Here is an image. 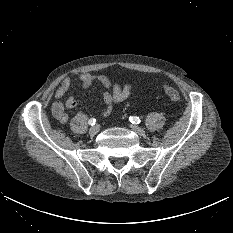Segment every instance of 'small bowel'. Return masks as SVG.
Wrapping results in <instances>:
<instances>
[{"label":"small bowel","instance_id":"c3829d8e","mask_svg":"<svg viewBox=\"0 0 233 233\" xmlns=\"http://www.w3.org/2000/svg\"><path fill=\"white\" fill-rule=\"evenodd\" d=\"M80 86L83 89L89 88L94 82H99L108 89L102 95L103 103L106 109L102 112V116L107 117L111 114L114 103L122 102L132 95L135 91L130 84L119 85L110 80L104 74L82 73L79 77ZM71 80L64 78L61 80L58 88L54 92L55 102L52 105V115L60 123L65 124L68 121L67 109H74L77 106V100L74 97H69L63 102L61 99L71 87Z\"/></svg>","mask_w":233,"mask_h":233}]
</instances>
